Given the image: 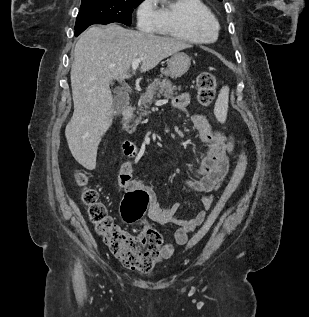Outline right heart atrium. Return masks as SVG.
Wrapping results in <instances>:
<instances>
[{
    "label": "right heart atrium",
    "instance_id": "1",
    "mask_svg": "<svg viewBox=\"0 0 309 317\" xmlns=\"http://www.w3.org/2000/svg\"><path fill=\"white\" fill-rule=\"evenodd\" d=\"M136 16L142 30L155 29L160 21L156 0H142L137 7Z\"/></svg>",
    "mask_w": 309,
    "mask_h": 317
}]
</instances>
